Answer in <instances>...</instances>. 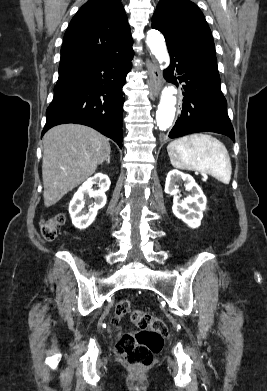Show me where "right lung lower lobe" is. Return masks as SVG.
I'll list each match as a JSON object with an SVG mask.
<instances>
[{"instance_id": "right-lung-lower-lobe-1", "label": "right lung lower lobe", "mask_w": 267, "mask_h": 391, "mask_svg": "<svg viewBox=\"0 0 267 391\" xmlns=\"http://www.w3.org/2000/svg\"><path fill=\"white\" fill-rule=\"evenodd\" d=\"M131 49L60 74L46 111L42 135L51 127L76 123L90 126L122 148L125 77L131 70Z\"/></svg>"}]
</instances>
